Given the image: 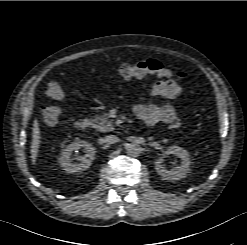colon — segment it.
<instances>
[{
    "mask_svg": "<svg viewBox=\"0 0 247 245\" xmlns=\"http://www.w3.org/2000/svg\"><path fill=\"white\" fill-rule=\"evenodd\" d=\"M118 74L125 79L140 78L147 75L167 78L175 77L178 79H185L187 77L185 71L173 72L155 59L140 60L132 64H122L118 68ZM47 95L54 100H61L64 98L65 93L60 84L51 82L47 87ZM41 114L46 124L53 125L58 122L61 109L58 106H47L42 109ZM181 124V120L175 119L169 123V126L172 129H178L181 127Z\"/></svg>",
    "mask_w": 247,
    "mask_h": 245,
    "instance_id": "1",
    "label": "colon"
}]
</instances>
